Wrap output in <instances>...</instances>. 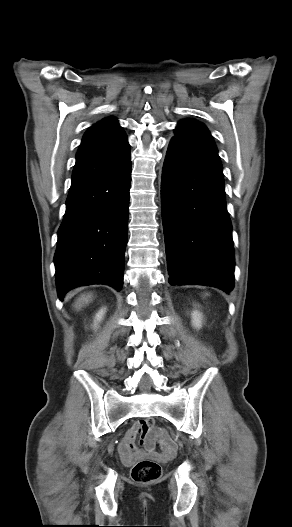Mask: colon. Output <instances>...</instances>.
Here are the masks:
<instances>
[{"label": "colon", "instance_id": "colon-1", "mask_svg": "<svg viewBox=\"0 0 292 527\" xmlns=\"http://www.w3.org/2000/svg\"><path fill=\"white\" fill-rule=\"evenodd\" d=\"M144 430H154L155 424L152 420H145L140 422ZM162 475L161 466L154 465L150 459H143L138 461L131 469V477L134 481L139 483H151L157 481Z\"/></svg>", "mask_w": 292, "mask_h": 527}]
</instances>
